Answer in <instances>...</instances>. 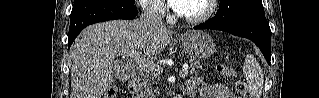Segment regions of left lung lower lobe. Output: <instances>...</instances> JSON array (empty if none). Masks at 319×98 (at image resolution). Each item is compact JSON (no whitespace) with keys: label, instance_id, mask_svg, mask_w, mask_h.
I'll list each match as a JSON object with an SVG mask.
<instances>
[{"label":"left lung lower lobe","instance_id":"obj_1","mask_svg":"<svg viewBox=\"0 0 319 98\" xmlns=\"http://www.w3.org/2000/svg\"><path fill=\"white\" fill-rule=\"evenodd\" d=\"M194 29H215L252 40L262 51L268 64L271 59V30L264 14L231 24H200Z\"/></svg>","mask_w":319,"mask_h":98}]
</instances>
